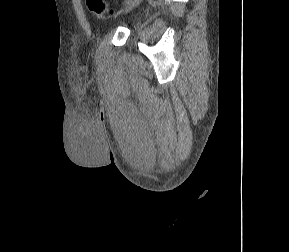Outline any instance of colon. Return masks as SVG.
<instances>
[{
	"label": "colon",
	"mask_w": 289,
	"mask_h": 252,
	"mask_svg": "<svg viewBox=\"0 0 289 252\" xmlns=\"http://www.w3.org/2000/svg\"><path fill=\"white\" fill-rule=\"evenodd\" d=\"M89 12L96 17H103L112 13L105 0H85Z\"/></svg>",
	"instance_id": "obj_1"
}]
</instances>
